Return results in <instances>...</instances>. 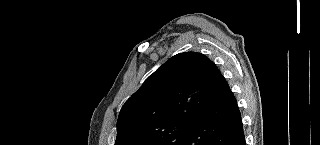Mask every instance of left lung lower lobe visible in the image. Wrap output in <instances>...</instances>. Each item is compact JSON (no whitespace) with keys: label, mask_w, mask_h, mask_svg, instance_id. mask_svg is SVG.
I'll return each instance as SVG.
<instances>
[{"label":"left lung lower lobe","mask_w":320,"mask_h":145,"mask_svg":"<svg viewBox=\"0 0 320 145\" xmlns=\"http://www.w3.org/2000/svg\"><path fill=\"white\" fill-rule=\"evenodd\" d=\"M209 106L183 145H245L236 99L216 68L208 83Z\"/></svg>","instance_id":"0a47b994"}]
</instances>
